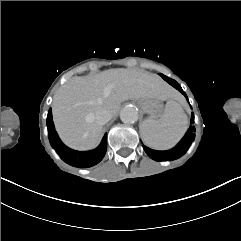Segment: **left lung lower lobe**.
<instances>
[{
    "mask_svg": "<svg viewBox=\"0 0 241 241\" xmlns=\"http://www.w3.org/2000/svg\"><path fill=\"white\" fill-rule=\"evenodd\" d=\"M160 76L167 81L170 85H172L174 88H176L178 91H180L188 100L185 92L182 90L181 86L173 79L160 74ZM194 122V115L192 114L191 117V123ZM195 127L190 126L185 136L182 138V140L172 149L166 150V151H158L150 149L146 146H143L144 151L147 153V155L156 161H166V160H173L181 157L189 148L191 145L194 137H195Z\"/></svg>",
    "mask_w": 241,
    "mask_h": 241,
    "instance_id": "0a47b994",
    "label": "left lung lower lobe"
}]
</instances>
